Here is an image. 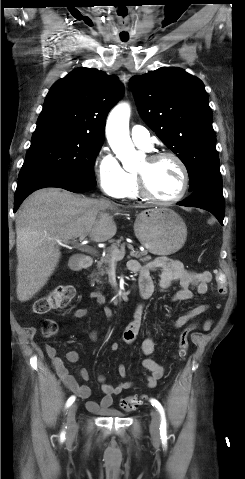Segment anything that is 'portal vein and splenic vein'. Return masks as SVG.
<instances>
[{"label":"portal vein and splenic vein","instance_id":"1","mask_svg":"<svg viewBox=\"0 0 245 479\" xmlns=\"http://www.w3.org/2000/svg\"><path fill=\"white\" fill-rule=\"evenodd\" d=\"M85 238V236H82L80 237L81 240H83ZM59 244H61V242L58 241ZM127 248L131 251V253H134V247L130 244L127 245ZM125 256V244L122 245L120 247V249L118 247H115L112 249V259L114 260H121L123 259Z\"/></svg>","mask_w":245,"mask_h":479}]
</instances>
